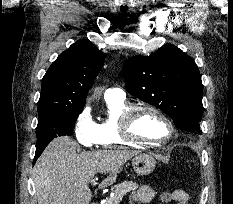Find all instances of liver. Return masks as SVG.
<instances>
[{
	"label": "liver",
	"mask_w": 233,
	"mask_h": 204,
	"mask_svg": "<svg viewBox=\"0 0 233 204\" xmlns=\"http://www.w3.org/2000/svg\"><path fill=\"white\" fill-rule=\"evenodd\" d=\"M68 136L52 140L34 167V186L38 204H89V182L97 173L109 176L99 188L116 182L122 165L138 154L130 150L83 151Z\"/></svg>",
	"instance_id": "liver-1"
}]
</instances>
